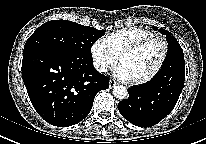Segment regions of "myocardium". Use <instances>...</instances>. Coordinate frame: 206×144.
<instances>
[{
  "label": "myocardium",
  "instance_id": "obj_1",
  "mask_svg": "<svg viewBox=\"0 0 206 144\" xmlns=\"http://www.w3.org/2000/svg\"><path fill=\"white\" fill-rule=\"evenodd\" d=\"M152 41H158L161 44V47H162L161 57L156 65V67L148 75H146L140 79L131 80L132 83L135 85L146 84V83L152 81L153 79H155L157 77V75L160 73V71L162 70V68L165 64L167 56H168L169 48H168L167 41L160 36L152 35V36L146 37L140 41H137V42L127 46L126 48H124L121 51V53L118 56V61H119V63H121L123 58H125L126 56H128L130 54L137 52L138 50H140L141 48H143L144 46H146L147 44H149Z\"/></svg>",
  "mask_w": 206,
  "mask_h": 144
}]
</instances>
